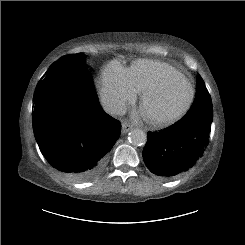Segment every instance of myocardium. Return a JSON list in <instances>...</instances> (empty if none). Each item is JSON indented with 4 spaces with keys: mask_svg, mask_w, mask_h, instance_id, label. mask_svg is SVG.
Wrapping results in <instances>:
<instances>
[{
    "mask_svg": "<svg viewBox=\"0 0 245 245\" xmlns=\"http://www.w3.org/2000/svg\"><path fill=\"white\" fill-rule=\"evenodd\" d=\"M176 76L184 78L186 82L188 83L189 88H190L189 97L187 98L185 104L179 110H177L176 112L172 114H169L166 116H146V120L154 126H166V125L176 122L188 112V110L190 109V107L192 106L194 102L196 92H195V87L192 81L181 71L176 70L170 73L169 75H167L165 78L160 80L155 85L143 91L141 101H140V107L143 109L147 101L151 97L159 94Z\"/></svg>",
    "mask_w": 245,
    "mask_h": 245,
    "instance_id": "f54148a6",
    "label": "myocardium"
}]
</instances>
